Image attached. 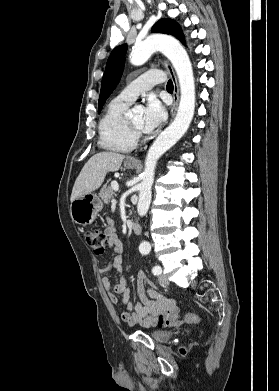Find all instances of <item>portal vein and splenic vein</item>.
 Instances as JSON below:
<instances>
[{
	"label": "portal vein and splenic vein",
	"mask_w": 279,
	"mask_h": 391,
	"mask_svg": "<svg viewBox=\"0 0 279 391\" xmlns=\"http://www.w3.org/2000/svg\"><path fill=\"white\" fill-rule=\"evenodd\" d=\"M112 187L115 191H118L119 190V186H118V183L117 182H112ZM113 204L116 203V200L115 199H112L111 201Z\"/></svg>",
	"instance_id": "portal-vein-and-splenic-vein-1"
}]
</instances>
